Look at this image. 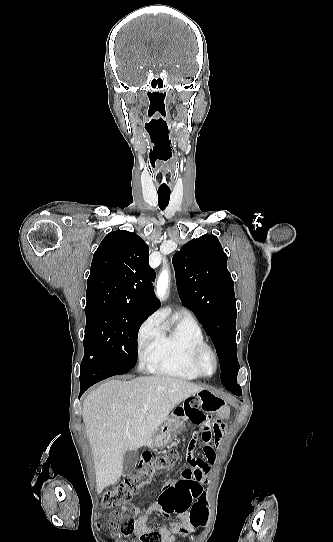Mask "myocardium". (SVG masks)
I'll return each mask as SVG.
<instances>
[{
	"label": "myocardium",
	"instance_id": "1",
	"mask_svg": "<svg viewBox=\"0 0 333 542\" xmlns=\"http://www.w3.org/2000/svg\"><path fill=\"white\" fill-rule=\"evenodd\" d=\"M202 236L204 235H201V237ZM207 236H213V235H207ZM205 354L210 355L213 361V371L211 373H205L201 367V360ZM190 361H191V365L194 371L198 374V376H201V377H212L217 372L218 366H219L216 352L210 345H208L205 342L198 344L193 348Z\"/></svg>",
	"mask_w": 333,
	"mask_h": 542
}]
</instances>
